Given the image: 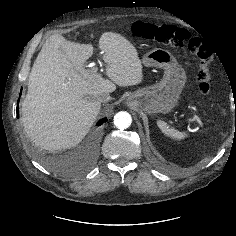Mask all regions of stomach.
Instances as JSON below:
<instances>
[{"instance_id": "obj_1", "label": "stomach", "mask_w": 236, "mask_h": 236, "mask_svg": "<svg viewBox=\"0 0 236 236\" xmlns=\"http://www.w3.org/2000/svg\"><path fill=\"white\" fill-rule=\"evenodd\" d=\"M145 66L164 69L160 82L133 92L127 103L135 105L148 114L167 113L176 105L186 82L185 70L168 50L156 48L143 56Z\"/></svg>"}]
</instances>
